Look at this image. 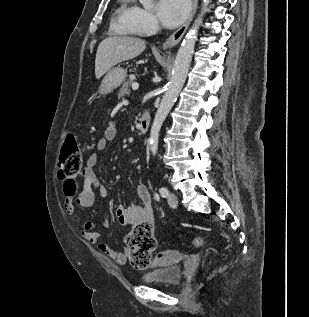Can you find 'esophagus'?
<instances>
[{
	"label": "esophagus",
	"mask_w": 309,
	"mask_h": 317,
	"mask_svg": "<svg viewBox=\"0 0 309 317\" xmlns=\"http://www.w3.org/2000/svg\"><path fill=\"white\" fill-rule=\"evenodd\" d=\"M198 0H192V9L190 12L189 17L187 20L183 23L181 27H179L163 44V49L171 48L178 44L180 40L182 39L184 33L186 32L188 26L190 25L197 9Z\"/></svg>",
	"instance_id": "esophagus-1"
}]
</instances>
